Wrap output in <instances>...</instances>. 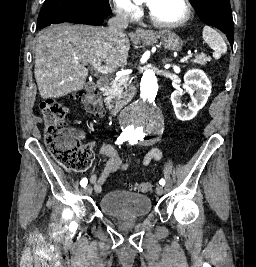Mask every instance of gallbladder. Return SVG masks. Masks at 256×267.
I'll return each instance as SVG.
<instances>
[{
    "mask_svg": "<svg viewBox=\"0 0 256 267\" xmlns=\"http://www.w3.org/2000/svg\"><path fill=\"white\" fill-rule=\"evenodd\" d=\"M93 86H95L94 82H89L87 86L88 90H92Z\"/></svg>",
    "mask_w": 256,
    "mask_h": 267,
    "instance_id": "obj_1",
    "label": "gallbladder"
}]
</instances>
